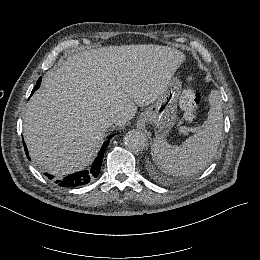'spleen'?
Returning a JSON list of instances; mask_svg holds the SVG:
<instances>
[{
    "label": "spleen",
    "instance_id": "obj_1",
    "mask_svg": "<svg viewBox=\"0 0 260 260\" xmlns=\"http://www.w3.org/2000/svg\"><path fill=\"white\" fill-rule=\"evenodd\" d=\"M209 111L203 128L181 145H170L165 139H154L155 161L171 175H191L203 169L214 156L222 137V99L217 90L209 94Z\"/></svg>",
    "mask_w": 260,
    "mask_h": 260
}]
</instances>
